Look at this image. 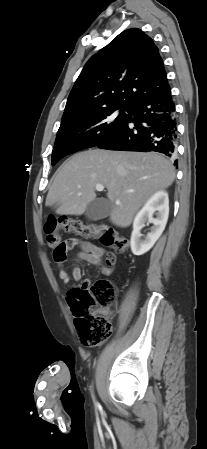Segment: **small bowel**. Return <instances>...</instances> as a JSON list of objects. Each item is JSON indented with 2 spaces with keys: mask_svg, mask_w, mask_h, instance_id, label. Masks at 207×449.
Wrapping results in <instances>:
<instances>
[{
  "mask_svg": "<svg viewBox=\"0 0 207 449\" xmlns=\"http://www.w3.org/2000/svg\"><path fill=\"white\" fill-rule=\"evenodd\" d=\"M70 241L72 242L70 248L78 246L80 247V251L76 256V264L74 265L71 273L66 270L64 263L58 264L59 276L65 285H67L72 279L75 281H79L81 279L82 274L79 266V262L81 261H86L90 265L100 267L101 273L105 276H109L113 272L116 261L113 253L97 247L87 241H82L79 239H71ZM103 256H106L107 264L102 262ZM109 260L112 262L110 263Z\"/></svg>",
  "mask_w": 207,
  "mask_h": 449,
  "instance_id": "c3829d8e",
  "label": "small bowel"
}]
</instances>
